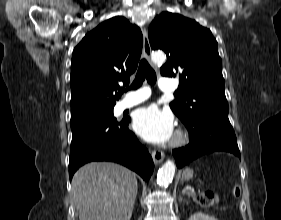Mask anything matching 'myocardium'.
Segmentation results:
<instances>
[{
    "instance_id": "myocardium-1",
    "label": "myocardium",
    "mask_w": 281,
    "mask_h": 220,
    "mask_svg": "<svg viewBox=\"0 0 281 220\" xmlns=\"http://www.w3.org/2000/svg\"><path fill=\"white\" fill-rule=\"evenodd\" d=\"M187 141L188 133L184 129L179 128L171 141V145L174 147H178L184 145Z\"/></svg>"
}]
</instances>
